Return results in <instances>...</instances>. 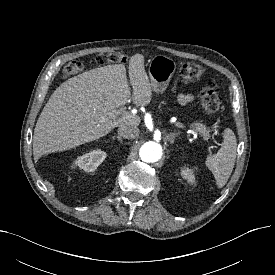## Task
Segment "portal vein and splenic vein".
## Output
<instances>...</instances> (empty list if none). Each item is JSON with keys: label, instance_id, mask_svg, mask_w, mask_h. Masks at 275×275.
Here are the masks:
<instances>
[{"label": "portal vein and splenic vein", "instance_id": "portal-vein-and-splenic-vein-1", "mask_svg": "<svg viewBox=\"0 0 275 275\" xmlns=\"http://www.w3.org/2000/svg\"><path fill=\"white\" fill-rule=\"evenodd\" d=\"M189 133H192V131H191V130H189Z\"/></svg>", "mask_w": 275, "mask_h": 275}]
</instances>
